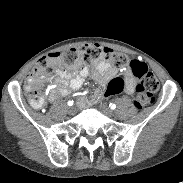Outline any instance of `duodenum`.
<instances>
[{"mask_svg":"<svg viewBox=\"0 0 183 183\" xmlns=\"http://www.w3.org/2000/svg\"><path fill=\"white\" fill-rule=\"evenodd\" d=\"M92 95H93V97H91L90 100H88V101L86 99H84V98L81 99L80 102H79L80 105L83 106V107L87 105L88 107L91 108L95 104H97L98 101H99L98 98L101 95L100 91L96 89V90L93 91Z\"/></svg>","mask_w":183,"mask_h":183,"instance_id":"1","label":"duodenum"}]
</instances>
